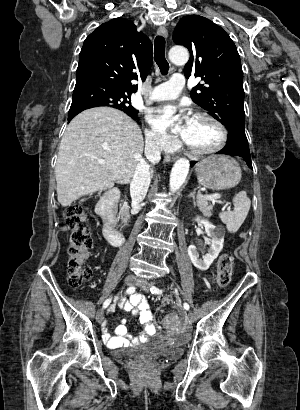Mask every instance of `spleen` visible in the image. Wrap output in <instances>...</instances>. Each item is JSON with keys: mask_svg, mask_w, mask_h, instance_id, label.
<instances>
[{"mask_svg": "<svg viewBox=\"0 0 300 410\" xmlns=\"http://www.w3.org/2000/svg\"><path fill=\"white\" fill-rule=\"evenodd\" d=\"M234 210L219 214L221 221L226 224L230 233L238 231L244 222L251 205L250 199L245 191L239 192L233 199Z\"/></svg>", "mask_w": 300, "mask_h": 410, "instance_id": "3e777b00", "label": "spleen"}]
</instances>
